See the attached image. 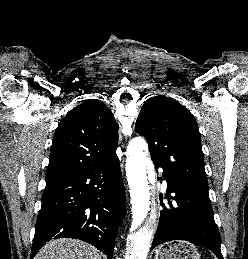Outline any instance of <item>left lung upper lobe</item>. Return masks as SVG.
<instances>
[{
    "instance_id": "obj_1",
    "label": "left lung upper lobe",
    "mask_w": 248,
    "mask_h": 259,
    "mask_svg": "<svg viewBox=\"0 0 248 259\" xmlns=\"http://www.w3.org/2000/svg\"><path fill=\"white\" fill-rule=\"evenodd\" d=\"M135 131L146 138L155 166L185 188L208 193L200 133L189 110L171 98L151 97Z\"/></svg>"
}]
</instances>
